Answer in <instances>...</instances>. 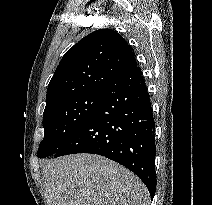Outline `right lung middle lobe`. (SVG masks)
<instances>
[{
	"instance_id": "dd1d6c3e",
	"label": "right lung middle lobe",
	"mask_w": 212,
	"mask_h": 205,
	"mask_svg": "<svg viewBox=\"0 0 212 205\" xmlns=\"http://www.w3.org/2000/svg\"><path fill=\"white\" fill-rule=\"evenodd\" d=\"M102 92L81 95L64 101L44 112V139L38 149V157L55 154L86 121L96 108Z\"/></svg>"
}]
</instances>
